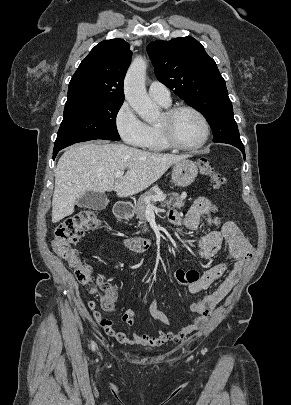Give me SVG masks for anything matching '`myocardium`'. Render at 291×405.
I'll return each mask as SVG.
<instances>
[{
	"label": "myocardium",
	"mask_w": 291,
	"mask_h": 405,
	"mask_svg": "<svg viewBox=\"0 0 291 405\" xmlns=\"http://www.w3.org/2000/svg\"><path fill=\"white\" fill-rule=\"evenodd\" d=\"M185 110L191 111L194 114H196L201 119L204 126V137L196 145H184L178 142L174 136L173 131L174 120L181 111ZM158 127L164 142L170 148L182 151H195L204 147L209 141L211 135V126L205 114L198 108L187 104L175 105L167 108L162 115V120L158 123Z\"/></svg>",
	"instance_id": "f54148a6"
}]
</instances>
